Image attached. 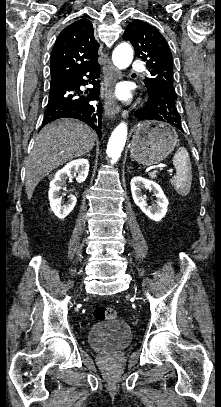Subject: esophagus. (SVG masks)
Segmentation results:
<instances>
[{"instance_id":"obj_1","label":"esophagus","mask_w":221,"mask_h":407,"mask_svg":"<svg viewBox=\"0 0 221 407\" xmlns=\"http://www.w3.org/2000/svg\"><path fill=\"white\" fill-rule=\"evenodd\" d=\"M103 73L107 82L105 83L104 92L101 94L105 114L113 118L120 112V105L114 97L112 85L121 78V71L115 69L111 63H108L103 68Z\"/></svg>"}]
</instances>
